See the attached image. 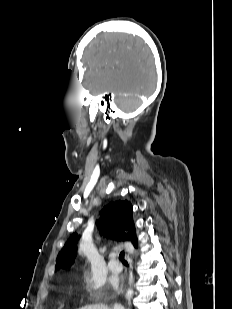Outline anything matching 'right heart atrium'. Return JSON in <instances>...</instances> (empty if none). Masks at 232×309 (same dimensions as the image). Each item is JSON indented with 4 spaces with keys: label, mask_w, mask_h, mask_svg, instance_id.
<instances>
[{
    "label": "right heart atrium",
    "mask_w": 232,
    "mask_h": 309,
    "mask_svg": "<svg viewBox=\"0 0 232 309\" xmlns=\"http://www.w3.org/2000/svg\"><path fill=\"white\" fill-rule=\"evenodd\" d=\"M86 289L92 296H97L98 295V287L91 281L86 282Z\"/></svg>",
    "instance_id": "right-heart-atrium-1"
}]
</instances>
